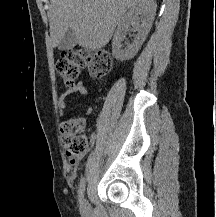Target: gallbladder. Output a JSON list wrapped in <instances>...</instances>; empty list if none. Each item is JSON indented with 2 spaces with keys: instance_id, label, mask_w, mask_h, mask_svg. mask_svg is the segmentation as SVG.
I'll list each match as a JSON object with an SVG mask.
<instances>
[{
  "instance_id": "1",
  "label": "gallbladder",
  "mask_w": 216,
  "mask_h": 217,
  "mask_svg": "<svg viewBox=\"0 0 216 217\" xmlns=\"http://www.w3.org/2000/svg\"><path fill=\"white\" fill-rule=\"evenodd\" d=\"M77 44L76 33L73 29L69 28L65 33L64 37L58 44L59 50H71Z\"/></svg>"
}]
</instances>
